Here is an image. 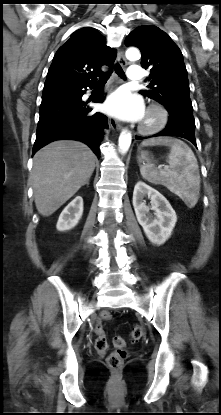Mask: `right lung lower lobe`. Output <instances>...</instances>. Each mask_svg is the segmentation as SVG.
Segmentation results:
<instances>
[{"instance_id": "right-lung-lower-lobe-1", "label": "right lung lower lobe", "mask_w": 221, "mask_h": 415, "mask_svg": "<svg viewBox=\"0 0 221 415\" xmlns=\"http://www.w3.org/2000/svg\"><path fill=\"white\" fill-rule=\"evenodd\" d=\"M95 83L43 90L33 155L52 141L71 139L84 142L100 157L99 146L108 120L105 115L92 112V108L87 107L88 102L82 101L87 87L92 89ZM103 101V92L92 100L94 103Z\"/></svg>"}]
</instances>
